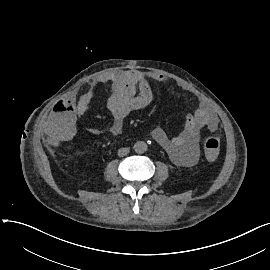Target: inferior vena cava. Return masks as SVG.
I'll return each mask as SVG.
<instances>
[{
  "label": "inferior vena cava",
  "instance_id": "602c4592",
  "mask_svg": "<svg viewBox=\"0 0 270 270\" xmlns=\"http://www.w3.org/2000/svg\"><path fill=\"white\" fill-rule=\"evenodd\" d=\"M129 153V148H120L118 150V156L123 157Z\"/></svg>",
  "mask_w": 270,
  "mask_h": 270
}]
</instances>
